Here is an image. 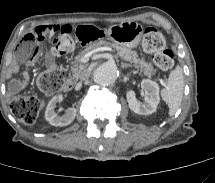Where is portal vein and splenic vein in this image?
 I'll list each match as a JSON object with an SVG mask.
<instances>
[{
    "label": "portal vein and splenic vein",
    "mask_w": 215,
    "mask_h": 183,
    "mask_svg": "<svg viewBox=\"0 0 215 183\" xmlns=\"http://www.w3.org/2000/svg\"><path fill=\"white\" fill-rule=\"evenodd\" d=\"M101 51H112V49L110 47H99V48H96L88 53H86L84 56H83V59L85 61H88L89 58L92 56V54L96 53V52H101Z\"/></svg>",
    "instance_id": "obj_1"
}]
</instances>
